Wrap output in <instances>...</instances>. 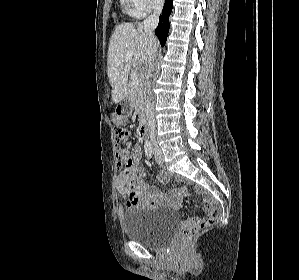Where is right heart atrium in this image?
<instances>
[{"label":"right heart atrium","instance_id":"obj_1","mask_svg":"<svg viewBox=\"0 0 299 280\" xmlns=\"http://www.w3.org/2000/svg\"><path fill=\"white\" fill-rule=\"evenodd\" d=\"M137 9L142 15L148 14L151 11L159 8L163 0H133Z\"/></svg>","mask_w":299,"mask_h":280}]
</instances>
